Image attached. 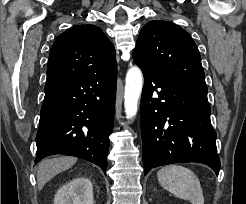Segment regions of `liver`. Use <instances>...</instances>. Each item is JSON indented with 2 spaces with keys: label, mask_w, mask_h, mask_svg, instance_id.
Listing matches in <instances>:
<instances>
[{
  "label": "liver",
  "mask_w": 246,
  "mask_h": 204,
  "mask_svg": "<svg viewBox=\"0 0 246 204\" xmlns=\"http://www.w3.org/2000/svg\"><path fill=\"white\" fill-rule=\"evenodd\" d=\"M77 162V158L71 156H60L42 161L37 170L38 189L41 190L45 184L55 175L69 169Z\"/></svg>",
  "instance_id": "liver-1"
}]
</instances>
